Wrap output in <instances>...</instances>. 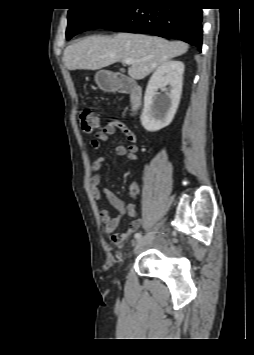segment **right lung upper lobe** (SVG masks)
I'll return each mask as SVG.
<instances>
[{"mask_svg": "<svg viewBox=\"0 0 254 355\" xmlns=\"http://www.w3.org/2000/svg\"><path fill=\"white\" fill-rule=\"evenodd\" d=\"M121 1H131V0H121Z\"/></svg>", "mask_w": 254, "mask_h": 355, "instance_id": "right-lung-upper-lobe-1", "label": "right lung upper lobe"}]
</instances>
